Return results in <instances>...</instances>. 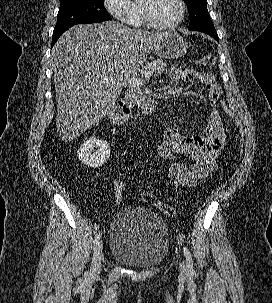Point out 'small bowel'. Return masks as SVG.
Returning a JSON list of instances; mask_svg holds the SVG:
<instances>
[{
    "label": "small bowel",
    "instance_id": "1",
    "mask_svg": "<svg viewBox=\"0 0 272 303\" xmlns=\"http://www.w3.org/2000/svg\"><path fill=\"white\" fill-rule=\"evenodd\" d=\"M168 76L176 82L198 80L207 88V102L211 110L197 134L168 128L157 152L164 158L174 160L168 176L175 187L194 188L218 168V157L227 142L222 115L216 103L221 87L210 73L192 69L171 68Z\"/></svg>",
    "mask_w": 272,
    "mask_h": 303
}]
</instances>
